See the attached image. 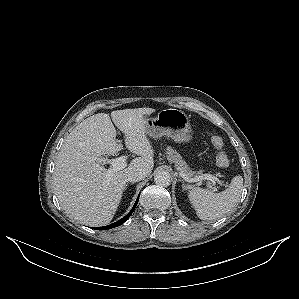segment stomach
Listing matches in <instances>:
<instances>
[{
    "mask_svg": "<svg viewBox=\"0 0 299 299\" xmlns=\"http://www.w3.org/2000/svg\"><path fill=\"white\" fill-rule=\"evenodd\" d=\"M146 134L154 139L162 136L183 143L192 139V129L187 115L178 109L160 110L156 117L145 119Z\"/></svg>",
    "mask_w": 299,
    "mask_h": 299,
    "instance_id": "obj_1",
    "label": "stomach"
}]
</instances>
